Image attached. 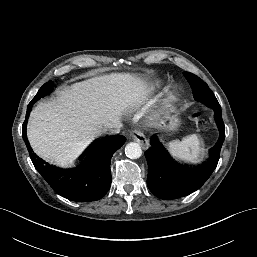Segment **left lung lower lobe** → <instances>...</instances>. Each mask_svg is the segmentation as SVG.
<instances>
[{"instance_id":"left-lung-lower-lobe-1","label":"left lung lower lobe","mask_w":257,"mask_h":257,"mask_svg":"<svg viewBox=\"0 0 257 257\" xmlns=\"http://www.w3.org/2000/svg\"><path fill=\"white\" fill-rule=\"evenodd\" d=\"M220 136L210 149V157L198 166L183 165L175 161L156 135L150 140L151 147L145 152L148 162L147 185L150 191L164 200L176 199L199 189L215 170L225 139L221 108H214Z\"/></svg>"}]
</instances>
